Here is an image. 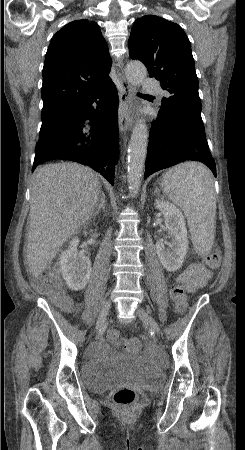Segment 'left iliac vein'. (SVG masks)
Segmentation results:
<instances>
[{
  "label": "left iliac vein",
  "mask_w": 245,
  "mask_h": 450,
  "mask_svg": "<svg viewBox=\"0 0 245 450\" xmlns=\"http://www.w3.org/2000/svg\"><path fill=\"white\" fill-rule=\"evenodd\" d=\"M136 313H137L138 317L143 322L147 323L156 334H160V327H159L158 323L154 320V318L152 316L149 315V313L146 310L138 307L136 309Z\"/></svg>",
  "instance_id": "4c4485c4"
}]
</instances>
